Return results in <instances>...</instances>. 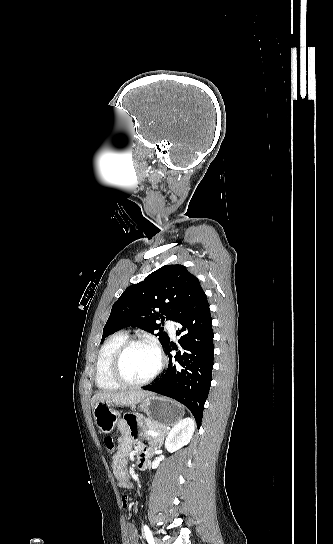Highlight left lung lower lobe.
I'll list each match as a JSON object with an SVG mask.
<instances>
[{
	"mask_svg": "<svg viewBox=\"0 0 333 544\" xmlns=\"http://www.w3.org/2000/svg\"><path fill=\"white\" fill-rule=\"evenodd\" d=\"M181 325L182 350L169 342L165 347L169 365L164 376L156 383L143 387L184 404L193 414L198 428L201 425L205 401L212 380L214 345L211 314L205 293L193 301L175 321ZM175 349L174 357L170 352Z\"/></svg>",
	"mask_w": 333,
	"mask_h": 544,
	"instance_id": "obj_1",
	"label": "left lung lower lobe"
}]
</instances>
